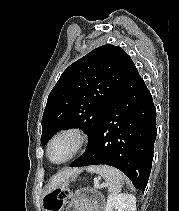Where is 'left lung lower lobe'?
Returning a JSON list of instances; mask_svg holds the SVG:
<instances>
[{
	"mask_svg": "<svg viewBox=\"0 0 179 211\" xmlns=\"http://www.w3.org/2000/svg\"><path fill=\"white\" fill-rule=\"evenodd\" d=\"M156 134L152 96L133 63L86 151L70 166H113L126 174L135 188L144 191L151 172Z\"/></svg>",
	"mask_w": 179,
	"mask_h": 211,
	"instance_id": "obj_1",
	"label": "left lung lower lobe"
}]
</instances>
